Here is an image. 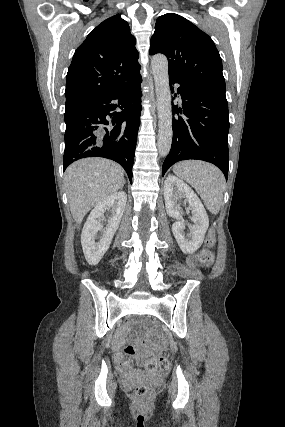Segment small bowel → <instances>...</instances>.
Wrapping results in <instances>:
<instances>
[{"label": "small bowel", "instance_id": "obj_1", "mask_svg": "<svg viewBox=\"0 0 285 427\" xmlns=\"http://www.w3.org/2000/svg\"><path fill=\"white\" fill-rule=\"evenodd\" d=\"M194 259L191 258L190 262H193ZM135 353H137L136 350H134ZM113 354H114V359L115 362L124 370V371H128L129 370V364L128 362L123 360V355H122V345L119 342H116L113 346Z\"/></svg>", "mask_w": 285, "mask_h": 427}]
</instances>
